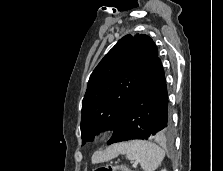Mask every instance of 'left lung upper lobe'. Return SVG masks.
Instances as JSON below:
<instances>
[{
    "label": "left lung upper lobe",
    "mask_w": 223,
    "mask_h": 171,
    "mask_svg": "<svg viewBox=\"0 0 223 171\" xmlns=\"http://www.w3.org/2000/svg\"><path fill=\"white\" fill-rule=\"evenodd\" d=\"M158 57L153 40L126 35L104 56L88 81L82 101V144L100 131H113Z\"/></svg>",
    "instance_id": "1"
}]
</instances>
